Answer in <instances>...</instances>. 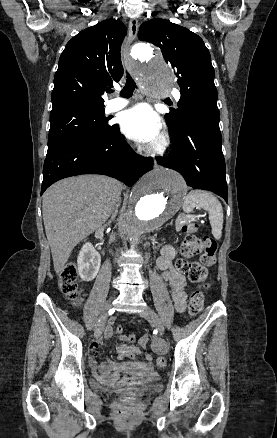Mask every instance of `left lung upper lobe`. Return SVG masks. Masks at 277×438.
<instances>
[{
    "label": "left lung upper lobe",
    "instance_id": "1",
    "mask_svg": "<svg viewBox=\"0 0 277 438\" xmlns=\"http://www.w3.org/2000/svg\"><path fill=\"white\" fill-rule=\"evenodd\" d=\"M138 38L158 46L165 61L175 69L181 99L165 119L172 136L182 127L187 111L205 103H217L214 68L203 40L187 28L168 20L153 18L144 22Z\"/></svg>",
    "mask_w": 277,
    "mask_h": 438
}]
</instances>
